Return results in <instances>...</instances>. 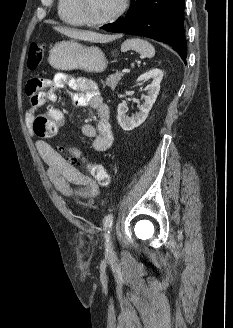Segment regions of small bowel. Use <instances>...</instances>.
I'll return each mask as SVG.
<instances>
[{"mask_svg": "<svg viewBox=\"0 0 233 328\" xmlns=\"http://www.w3.org/2000/svg\"><path fill=\"white\" fill-rule=\"evenodd\" d=\"M63 89L67 90L76 106H88L96 110L98 115L96 127L84 124L82 133L92 140V146L96 151L110 149L114 142L110 109L103 100L99 86L89 78H75L65 73H58L53 79L29 80L26 85V94L29 97L30 106L26 111V122L31 123L38 111L52 103L56 98V93ZM36 148L46 167L49 180L63 195L89 198L98 194L97 182L82 174L50 144L39 140L36 142ZM72 186L80 188L76 190Z\"/></svg>", "mask_w": 233, "mask_h": 328, "instance_id": "c3829d8e", "label": "small bowel"}]
</instances>
